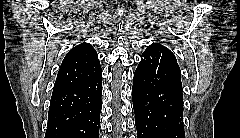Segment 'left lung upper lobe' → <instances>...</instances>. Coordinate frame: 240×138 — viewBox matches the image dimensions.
Masks as SVG:
<instances>
[{"instance_id": "left-lung-upper-lobe-1", "label": "left lung upper lobe", "mask_w": 240, "mask_h": 138, "mask_svg": "<svg viewBox=\"0 0 240 138\" xmlns=\"http://www.w3.org/2000/svg\"><path fill=\"white\" fill-rule=\"evenodd\" d=\"M154 46H160V44L158 43H153L152 45H150L149 47H147L146 50H149L150 48L154 47Z\"/></svg>"}]
</instances>
